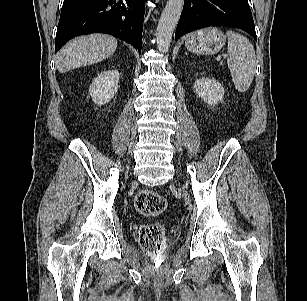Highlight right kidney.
<instances>
[{"label":"right kidney","instance_id":"ca27d5eb","mask_svg":"<svg viewBox=\"0 0 307 301\" xmlns=\"http://www.w3.org/2000/svg\"><path fill=\"white\" fill-rule=\"evenodd\" d=\"M120 74L118 70H106L98 74L90 85L93 102L101 105L109 102L118 91Z\"/></svg>","mask_w":307,"mask_h":301}]
</instances>
